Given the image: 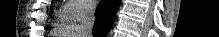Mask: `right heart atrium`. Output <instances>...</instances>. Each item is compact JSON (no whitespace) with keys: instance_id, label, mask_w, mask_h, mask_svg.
<instances>
[{"instance_id":"d8ad5b80","label":"right heart atrium","mask_w":219,"mask_h":37,"mask_svg":"<svg viewBox=\"0 0 219 37\" xmlns=\"http://www.w3.org/2000/svg\"><path fill=\"white\" fill-rule=\"evenodd\" d=\"M94 8V2L85 0H68L61 10V18L69 22H78L88 17Z\"/></svg>"}]
</instances>
